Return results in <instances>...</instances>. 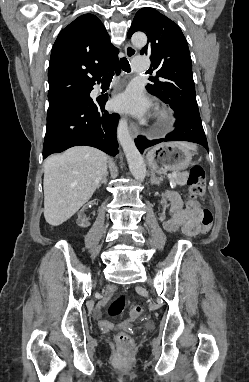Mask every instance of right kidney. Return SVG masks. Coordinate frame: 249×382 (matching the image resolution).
Returning <instances> with one entry per match:
<instances>
[{
	"instance_id": "1",
	"label": "right kidney",
	"mask_w": 249,
	"mask_h": 382,
	"mask_svg": "<svg viewBox=\"0 0 249 382\" xmlns=\"http://www.w3.org/2000/svg\"><path fill=\"white\" fill-rule=\"evenodd\" d=\"M95 199H90V201L87 202V204L82 205V210L80 211L78 215V225L81 227H88L91 223V218H86L84 211L86 214H93L94 213V205H95Z\"/></svg>"
}]
</instances>
